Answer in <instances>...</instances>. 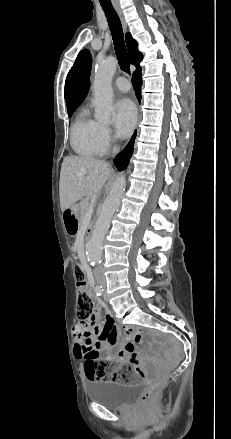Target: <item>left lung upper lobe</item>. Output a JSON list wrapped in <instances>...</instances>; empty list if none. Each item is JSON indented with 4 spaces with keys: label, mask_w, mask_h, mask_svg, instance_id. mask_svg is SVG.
Returning a JSON list of instances; mask_svg holds the SVG:
<instances>
[{
    "label": "left lung upper lobe",
    "mask_w": 231,
    "mask_h": 439,
    "mask_svg": "<svg viewBox=\"0 0 231 439\" xmlns=\"http://www.w3.org/2000/svg\"><path fill=\"white\" fill-rule=\"evenodd\" d=\"M86 53H87V50H83L78 54L73 67L69 71V74H73L75 72L76 68L78 67V65L80 64L81 60L83 59V57L85 56Z\"/></svg>",
    "instance_id": "1"
}]
</instances>
